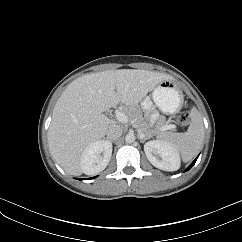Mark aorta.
<instances>
[{
  "label": "aorta",
  "mask_w": 242,
  "mask_h": 242,
  "mask_svg": "<svg viewBox=\"0 0 242 242\" xmlns=\"http://www.w3.org/2000/svg\"><path fill=\"white\" fill-rule=\"evenodd\" d=\"M125 141L126 143H133L135 141V136L132 134V133H128L126 136H125Z\"/></svg>",
  "instance_id": "aorta-1"
}]
</instances>
